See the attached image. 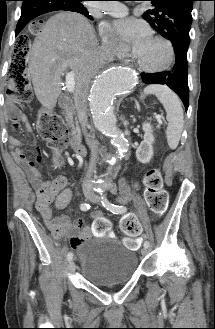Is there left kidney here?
<instances>
[{"label": "left kidney", "instance_id": "obj_1", "mask_svg": "<svg viewBox=\"0 0 215 329\" xmlns=\"http://www.w3.org/2000/svg\"><path fill=\"white\" fill-rule=\"evenodd\" d=\"M142 128L144 131V137L136 150V157L141 163H148L153 156V143L155 137L153 135L152 126L149 123H143Z\"/></svg>", "mask_w": 215, "mask_h": 329}]
</instances>
